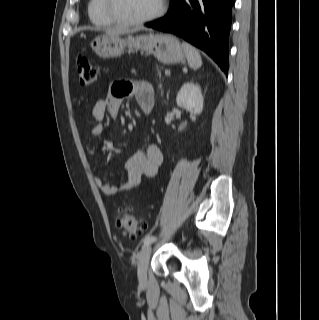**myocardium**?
<instances>
[{"label": "myocardium", "mask_w": 319, "mask_h": 320, "mask_svg": "<svg viewBox=\"0 0 319 320\" xmlns=\"http://www.w3.org/2000/svg\"><path fill=\"white\" fill-rule=\"evenodd\" d=\"M103 1H104V11L106 15L109 17V19H111L116 24H121V25L144 24L160 18L166 11V0H160L159 7L154 13L142 18L128 19V18H123L117 14V12L113 8V0H103Z\"/></svg>", "instance_id": "myocardium-1"}]
</instances>
